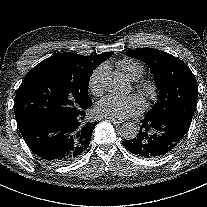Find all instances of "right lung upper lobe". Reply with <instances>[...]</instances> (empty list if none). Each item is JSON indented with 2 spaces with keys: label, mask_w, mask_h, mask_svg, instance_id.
I'll use <instances>...</instances> for the list:
<instances>
[{
  "label": "right lung upper lobe",
  "mask_w": 207,
  "mask_h": 207,
  "mask_svg": "<svg viewBox=\"0 0 207 207\" xmlns=\"http://www.w3.org/2000/svg\"><path fill=\"white\" fill-rule=\"evenodd\" d=\"M114 52H106L99 55L83 56L73 53H60L49 57L34 68H56L72 72L78 76L90 77L92 71L113 55Z\"/></svg>",
  "instance_id": "obj_1"
}]
</instances>
